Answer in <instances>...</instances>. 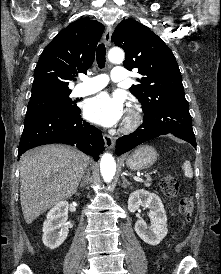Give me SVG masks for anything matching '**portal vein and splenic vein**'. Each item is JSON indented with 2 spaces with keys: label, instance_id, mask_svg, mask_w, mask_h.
<instances>
[{
  "label": "portal vein and splenic vein",
  "instance_id": "portal-vein-and-splenic-vein-1",
  "mask_svg": "<svg viewBox=\"0 0 221 274\" xmlns=\"http://www.w3.org/2000/svg\"><path fill=\"white\" fill-rule=\"evenodd\" d=\"M134 180H135V181H139V182L143 181L142 178H140V177H138V176H134Z\"/></svg>",
  "mask_w": 221,
  "mask_h": 274
}]
</instances>
